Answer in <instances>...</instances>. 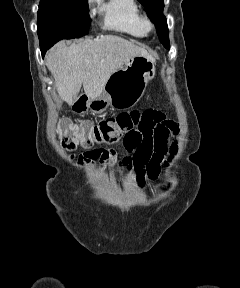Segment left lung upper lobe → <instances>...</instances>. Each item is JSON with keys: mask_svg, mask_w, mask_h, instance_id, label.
<instances>
[{"mask_svg": "<svg viewBox=\"0 0 240 288\" xmlns=\"http://www.w3.org/2000/svg\"><path fill=\"white\" fill-rule=\"evenodd\" d=\"M147 10L148 16L157 28V34L163 46L169 50V35L165 16L163 15L164 0H138Z\"/></svg>", "mask_w": 240, "mask_h": 288, "instance_id": "obj_1", "label": "left lung upper lobe"}]
</instances>
